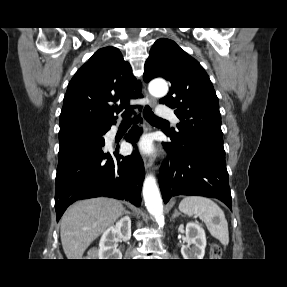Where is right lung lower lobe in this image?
I'll use <instances>...</instances> for the list:
<instances>
[{"instance_id":"right-lung-lower-lobe-1","label":"right lung lower lobe","mask_w":287,"mask_h":287,"mask_svg":"<svg viewBox=\"0 0 287 287\" xmlns=\"http://www.w3.org/2000/svg\"><path fill=\"white\" fill-rule=\"evenodd\" d=\"M138 120L141 118L136 116L135 121ZM111 125L105 126L98 141L78 140L60 145L55 193L57 221L70 204L80 199L106 196L140 206L143 161L137 151L123 157L118 148L115 152L103 148L102 136ZM141 133L142 128L133 127L126 140L135 145Z\"/></svg>"}]
</instances>
